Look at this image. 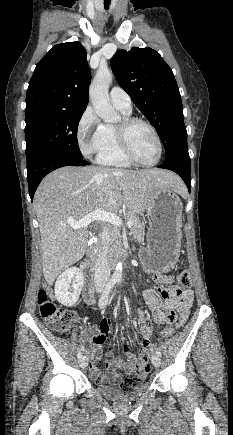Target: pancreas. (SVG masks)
I'll list each match as a JSON object with an SVG mask.
<instances>
[{
  "mask_svg": "<svg viewBox=\"0 0 233 435\" xmlns=\"http://www.w3.org/2000/svg\"><path fill=\"white\" fill-rule=\"evenodd\" d=\"M127 219L133 221L131 232L133 234V237L136 240L140 241L142 239V224L139 217L136 216L135 214H128ZM110 236H111L110 244L113 245L114 252L120 253L122 236L120 234L119 229L114 227L110 232Z\"/></svg>",
  "mask_w": 233,
  "mask_h": 435,
  "instance_id": "1",
  "label": "pancreas"
}]
</instances>
